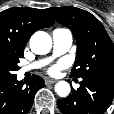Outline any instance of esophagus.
Instances as JSON below:
<instances>
[{
  "mask_svg": "<svg viewBox=\"0 0 114 114\" xmlns=\"http://www.w3.org/2000/svg\"><path fill=\"white\" fill-rule=\"evenodd\" d=\"M56 82H57V80H55V79H49V78L45 79V84L46 85H48V84H54Z\"/></svg>",
  "mask_w": 114,
  "mask_h": 114,
  "instance_id": "esophagus-1",
  "label": "esophagus"
}]
</instances>
